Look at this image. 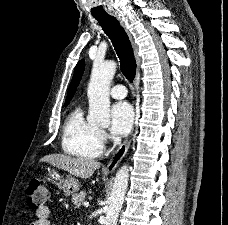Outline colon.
<instances>
[{"instance_id":"5ec220e1","label":"colon","mask_w":228,"mask_h":225,"mask_svg":"<svg viewBox=\"0 0 228 225\" xmlns=\"http://www.w3.org/2000/svg\"><path fill=\"white\" fill-rule=\"evenodd\" d=\"M26 194L29 206L34 210H42L45 202L50 200L47 185L37 179L27 184Z\"/></svg>"}]
</instances>
